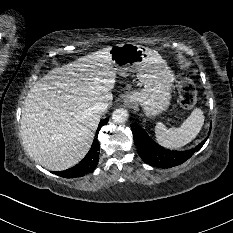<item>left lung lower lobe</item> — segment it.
<instances>
[{
    "instance_id": "left-lung-lower-lobe-1",
    "label": "left lung lower lobe",
    "mask_w": 233,
    "mask_h": 233,
    "mask_svg": "<svg viewBox=\"0 0 233 233\" xmlns=\"http://www.w3.org/2000/svg\"><path fill=\"white\" fill-rule=\"evenodd\" d=\"M131 130L137 152L142 160L147 164L161 168H170L182 164L198 151L207 140L206 138L195 148L188 151H171L164 149L151 140L143 129L131 126Z\"/></svg>"
}]
</instances>
